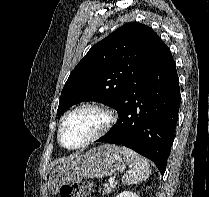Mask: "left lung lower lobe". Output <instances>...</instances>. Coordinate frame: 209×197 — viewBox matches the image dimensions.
<instances>
[{
    "label": "left lung lower lobe",
    "mask_w": 209,
    "mask_h": 197,
    "mask_svg": "<svg viewBox=\"0 0 209 197\" xmlns=\"http://www.w3.org/2000/svg\"><path fill=\"white\" fill-rule=\"evenodd\" d=\"M176 64L165 45L119 106L116 125L97 142L124 145L166 170L180 105Z\"/></svg>",
    "instance_id": "obj_1"
}]
</instances>
